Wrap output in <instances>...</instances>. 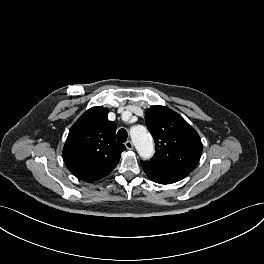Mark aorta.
I'll list each match as a JSON object with an SVG mask.
<instances>
[{"label": "aorta", "mask_w": 264, "mask_h": 264, "mask_svg": "<svg viewBox=\"0 0 264 264\" xmlns=\"http://www.w3.org/2000/svg\"><path fill=\"white\" fill-rule=\"evenodd\" d=\"M130 136L139 156L150 159L154 154V143L147 129L144 126H135L130 130Z\"/></svg>", "instance_id": "1"}]
</instances>
